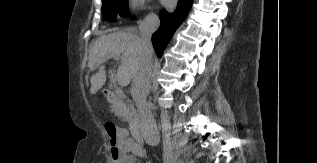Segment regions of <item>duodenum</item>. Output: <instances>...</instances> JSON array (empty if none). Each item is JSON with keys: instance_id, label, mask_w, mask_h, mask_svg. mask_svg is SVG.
<instances>
[{"instance_id": "obj_1", "label": "duodenum", "mask_w": 317, "mask_h": 163, "mask_svg": "<svg viewBox=\"0 0 317 163\" xmlns=\"http://www.w3.org/2000/svg\"><path fill=\"white\" fill-rule=\"evenodd\" d=\"M104 96L111 103H119L122 100L121 94L112 91V90H104ZM130 132L134 138V142L141 148L142 143L144 142V136L141 130L140 125L136 121H131L130 123Z\"/></svg>"}]
</instances>
